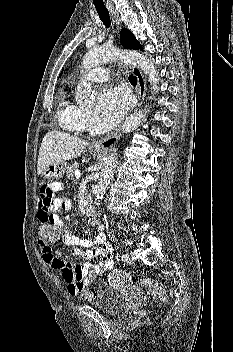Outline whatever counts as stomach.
<instances>
[{
	"label": "stomach",
	"mask_w": 233,
	"mask_h": 352,
	"mask_svg": "<svg viewBox=\"0 0 233 352\" xmlns=\"http://www.w3.org/2000/svg\"><path fill=\"white\" fill-rule=\"evenodd\" d=\"M92 152L94 155H96L99 153V150H92ZM66 168V162H55L43 170L42 176L45 179H60L63 177Z\"/></svg>",
	"instance_id": "1"
}]
</instances>
